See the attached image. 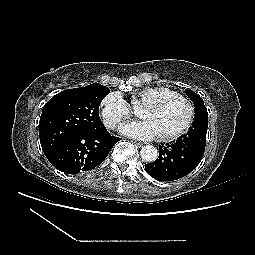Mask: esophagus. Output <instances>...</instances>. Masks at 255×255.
<instances>
[{
	"label": "esophagus",
	"mask_w": 255,
	"mask_h": 255,
	"mask_svg": "<svg viewBox=\"0 0 255 255\" xmlns=\"http://www.w3.org/2000/svg\"><path fill=\"white\" fill-rule=\"evenodd\" d=\"M133 144H135L137 147H142L143 143L137 142V141H132Z\"/></svg>",
	"instance_id": "esophagus-1"
}]
</instances>
